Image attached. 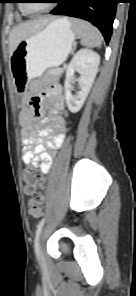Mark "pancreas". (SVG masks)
<instances>
[{
    "label": "pancreas",
    "mask_w": 136,
    "mask_h": 296,
    "mask_svg": "<svg viewBox=\"0 0 136 296\" xmlns=\"http://www.w3.org/2000/svg\"><path fill=\"white\" fill-rule=\"evenodd\" d=\"M55 72H56V70L50 69V70L47 71V75H49V76L53 75Z\"/></svg>",
    "instance_id": "1"
}]
</instances>
